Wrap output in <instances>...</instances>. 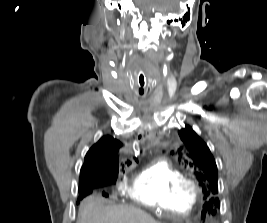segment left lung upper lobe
Returning a JSON list of instances; mask_svg holds the SVG:
<instances>
[{
  "mask_svg": "<svg viewBox=\"0 0 267 223\" xmlns=\"http://www.w3.org/2000/svg\"><path fill=\"white\" fill-rule=\"evenodd\" d=\"M179 135L184 143V149L179 152V160L182 158L189 163L193 172L203 188L205 197L208 198L203 206V212L216 213L220 207L218 198L211 197L218 193L217 166L206 143L195 133L190 126L179 130Z\"/></svg>",
  "mask_w": 267,
  "mask_h": 223,
  "instance_id": "5c2ea615",
  "label": "left lung upper lobe"
}]
</instances>
